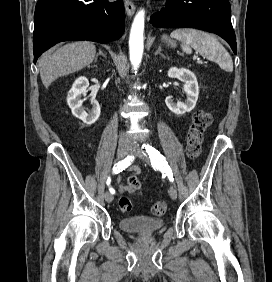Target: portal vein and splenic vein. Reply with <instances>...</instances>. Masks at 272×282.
I'll use <instances>...</instances> for the list:
<instances>
[{
  "label": "portal vein and splenic vein",
  "mask_w": 272,
  "mask_h": 282,
  "mask_svg": "<svg viewBox=\"0 0 272 282\" xmlns=\"http://www.w3.org/2000/svg\"><path fill=\"white\" fill-rule=\"evenodd\" d=\"M194 59L200 61V58H198V56H194Z\"/></svg>",
  "instance_id": "18ae733b"
}]
</instances>
